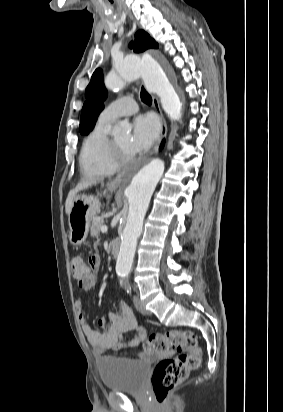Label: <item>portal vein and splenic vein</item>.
Wrapping results in <instances>:
<instances>
[{
	"label": "portal vein and splenic vein",
	"mask_w": 283,
	"mask_h": 412,
	"mask_svg": "<svg viewBox=\"0 0 283 412\" xmlns=\"http://www.w3.org/2000/svg\"><path fill=\"white\" fill-rule=\"evenodd\" d=\"M107 226H105V225H103L102 227H101V232H103V233H105V232H107Z\"/></svg>",
	"instance_id": "obj_1"
}]
</instances>
